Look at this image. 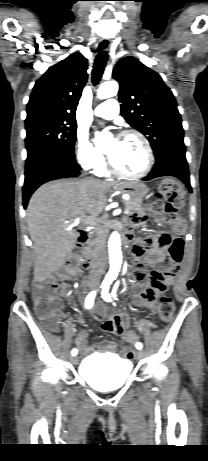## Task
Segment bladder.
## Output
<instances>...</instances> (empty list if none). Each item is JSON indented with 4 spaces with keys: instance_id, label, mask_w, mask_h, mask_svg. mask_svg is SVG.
I'll list each match as a JSON object with an SVG mask.
<instances>
[{
    "instance_id": "bladder-1",
    "label": "bladder",
    "mask_w": 208,
    "mask_h": 461,
    "mask_svg": "<svg viewBox=\"0 0 208 461\" xmlns=\"http://www.w3.org/2000/svg\"><path fill=\"white\" fill-rule=\"evenodd\" d=\"M130 372L129 361L108 354L87 357L79 367L82 379L100 391L122 387L129 379Z\"/></svg>"
}]
</instances>
